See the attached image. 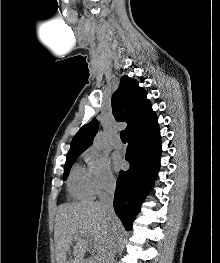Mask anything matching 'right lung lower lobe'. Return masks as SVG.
I'll use <instances>...</instances> for the list:
<instances>
[{"mask_svg": "<svg viewBox=\"0 0 220 263\" xmlns=\"http://www.w3.org/2000/svg\"><path fill=\"white\" fill-rule=\"evenodd\" d=\"M127 171H120L114 197V209L126 230L140 211V205L158 173L161 141L159 127L128 137Z\"/></svg>", "mask_w": 220, "mask_h": 263, "instance_id": "98d812e1", "label": "right lung lower lobe"}]
</instances>
